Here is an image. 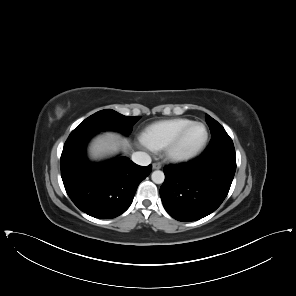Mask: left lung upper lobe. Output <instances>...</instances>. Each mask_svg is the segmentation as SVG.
Masks as SVG:
<instances>
[{
    "label": "left lung upper lobe",
    "mask_w": 296,
    "mask_h": 296,
    "mask_svg": "<svg viewBox=\"0 0 296 296\" xmlns=\"http://www.w3.org/2000/svg\"><path fill=\"white\" fill-rule=\"evenodd\" d=\"M205 119L209 125L212 137L208 147L200 158L207 161L221 154H235L233 142L225 129L209 115H206Z\"/></svg>",
    "instance_id": "left-lung-upper-lobe-1"
}]
</instances>
